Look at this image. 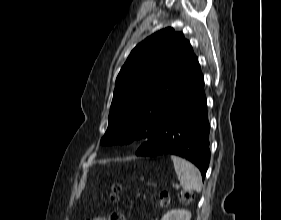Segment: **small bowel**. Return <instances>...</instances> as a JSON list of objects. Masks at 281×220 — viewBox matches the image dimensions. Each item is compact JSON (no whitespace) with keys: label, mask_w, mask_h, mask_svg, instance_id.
<instances>
[{"label":"small bowel","mask_w":281,"mask_h":220,"mask_svg":"<svg viewBox=\"0 0 281 220\" xmlns=\"http://www.w3.org/2000/svg\"><path fill=\"white\" fill-rule=\"evenodd\" d=\"M93 220H108V218H105V217H97V218H95V219H93Z\"/></svg>","instance_id":"c3829d8e"}]
</instances>
